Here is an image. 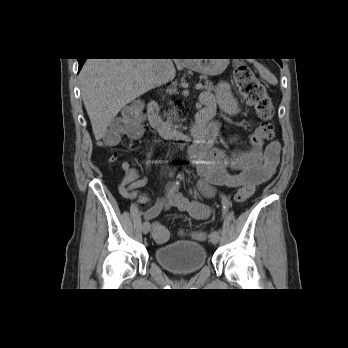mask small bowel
<instances>
[{
    "instance_id": "obj_1",
    "label": "small bowel",
    "mask_w": 348,
    "mask_h": 348,
    "mask_svg": "<svg viewBox=\"0 0 348 348\" xmlns=\"http://www.w3.org/2000/svg\"><path fill=\"white\" fill-rule=\"evenodd\" d=\"M200 100L203 107L215 109L218 102L228 114H235L237 111L236 100L226 82L217 84L215 95L203 92ZM220 128L221 125L218 121L211 122L210 129L213 136L219 133ZM190 154L195 163L198 187L205 195L210 196L214 187L217 186L236 188L243 185L256 186L268 181L279 164L280 144L272 141L265 149H252L235 155H228L219 149L207 150L192 147ZM121 170L123 175L118 185L121 195L128 199H135L137 204L149 205L148 197L140 191L147 184V178L140 175L138 169L127 161L122 162ZM171 207L184 211L195 219H206L210 215V209L205 204L189 201L180 193L176 191L170 193L169 191L167 197L157 201L146 210L144 217L151 220L161 211Z\"/></svg>"
}]
</instances>
